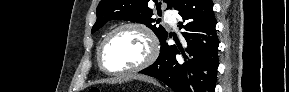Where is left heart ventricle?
I'll return each mask as SVG.
<instances>
[{
    "mask_svg": "<svg viewBox=\"0 0 289 92\" xmlns=\"http://www.w3.org/2000/svg\"><path fill=\"white\" fill-rule=\"evenodd\" d=\"M149 51L145 36L136 29L117 32L107 43L103 62L109 70H123L141 63Z\"/></svg>",
    "mask_w": 289,
    "mask_h": 92,
    "instance_id": "left-heart-ventricle-1",
    "label": "left heart ventricle"
}]
</instances>
